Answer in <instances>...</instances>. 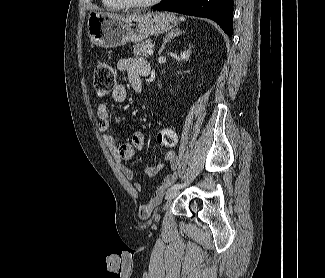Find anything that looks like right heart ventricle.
<instances>
[{"label": "right heart ventricle", "mask_w": 325, "mask_h": 278, "mask_svg": "<svg viewBox=\"0 0 325 278\" xmlns=\"http://www.w3.org/2000/svg\"><path fill=\"white\" fill-rule=\"evenodd\" d=\"M104 8L108 10H121L124 7L116 2V0H101Z\"/></svg>", "instance_id": "e07e8e85"}]
</instances>
